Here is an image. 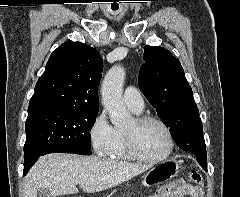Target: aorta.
<instances>
[{
    "label": "aorta",
    "mask_w": 240,
    "mask_h": 197,
    "mask_svg": "<svg viewBox=\"0 0 240 197\" xmlns=\"http://www.w3.org/2000/svg\"><path fill=\"white\" fill-rule=\"evenodd\" d=\"M125 75L124 68L115 65L105 75L101 87L102 104L111 123L116 127L126 126L131 120V115L122 100Z\"/></svg>",
    "instance_id": "aorta-1"
}]
</instances>
